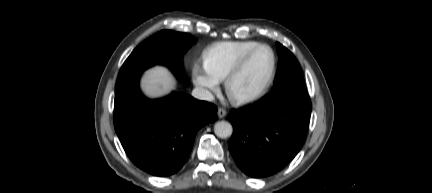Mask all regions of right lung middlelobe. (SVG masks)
I'll list each match as a JSON object with an SVG mask.
<instances>
[{"mask_svg":"<svg viewBox=\"0 0 432 193\" xmlns=\"http://www.w3.org/2000/svg\"><path fill=\"white\" fill-rule=\"evenodd\" d=\"M195 42V38L188 33L162 30L135 48L121 67L118 80L140 73L155 64L166 65L176 77H180L182 55Z\"/></svg>","mask_w":432,"mask_h":193,"instance_id":"1","label":"right lung middle lobe"}]
</instances>
